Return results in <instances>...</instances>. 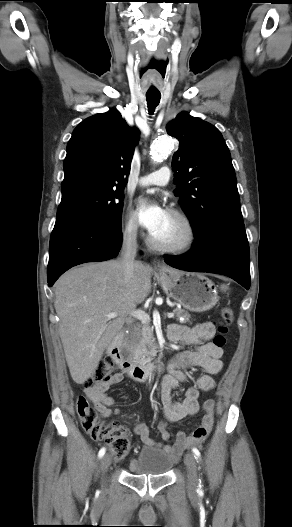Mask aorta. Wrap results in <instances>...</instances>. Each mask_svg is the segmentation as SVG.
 <instances>
[{"mask_svg": "<svg viewBox=\"0 0 292 527\" xmlns=\"http://www.w3.org/2000/svg\"><path fill=\"white\" fill-rule=\"evenodd\" d=\"M173 148L172 139L169 137H161L157 139L151 147V157L156 162H162Z\"/></svg>", "mask_w": 292, "mask_h": 527, "instance_id": "aorta-1", "label": "aorta"}]
</instances>
